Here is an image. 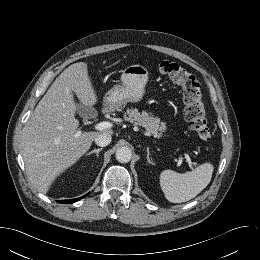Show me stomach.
Listing matches in <instances>:
<instances>
[{"label": "stomach", "mask_w": 260, "mask_h": 260, "mask_svg": "<svg viewBox=\"0 0 260 260\" xmlns=\"http://www.w3.org/2000/svg\"><path fill=\"white\" fill-rule=\"evenodd\" d=\"M149 72L142 65H130L121 75V85L111 88L104 97L105 104L119 108L127 102H138L145 94Z\"/></svg>", "instance_id": "obj_1"}]
</instances>
